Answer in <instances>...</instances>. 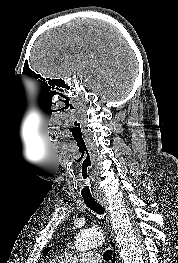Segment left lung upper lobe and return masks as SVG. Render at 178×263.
I'll list each match as a JSON object with an SVG mask.
<instances>
[{
	"label": "left lung upper lobe",
	"instance_id": "obj_1",
	"mask_svg": "<svg viewBox=\"0 0 178 263\" xmlns=\"http://www.w3.org/2000/svg\"><path fill=\"white\" fill-rule=\"evenodd\" d=\"M50 250H51V247L46 248V249L43 251V255L46 256Z\"/></svg>",
	"mask_w": 178,
	"mask_h": 263
}]
</instances>
